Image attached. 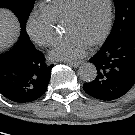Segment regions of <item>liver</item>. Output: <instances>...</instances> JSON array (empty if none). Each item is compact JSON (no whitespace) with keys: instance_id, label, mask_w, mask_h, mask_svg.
<instances>
[{"instance_id":"6515ba94","label":"liver","mask_w":135,"mask_h":135,"mask_svg":"<svg viewBox=\"0 0 135 135\" xmlns=\"http://www.w3.org/2000/svg\"><path fill=\"white\" fill-rule=\"evenodd\" d=\"M19 24L8 10L0 9V51L10 48L17 40Z\"/></svg>"}]
</instances>
